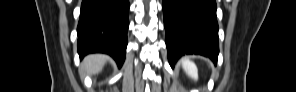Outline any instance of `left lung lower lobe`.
I'll return each instance as SVG.
<instances>
[{"label": "left lung lower lobe", "mask_w": 296, "mask_h": 92, "mask_svg": "<svg viewBox=\"0 0 296 92\" xmlns=\"http://www.w3.org/2000/svg\"><path fill=\"white\" fill-rule=\"evenodd\" d=\"M166 46L171 66L184 54L219 53L215 0H163Z\"/></svg>", "instance_id": "obj_1"}]
</instances>
